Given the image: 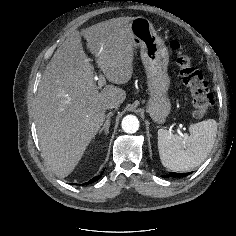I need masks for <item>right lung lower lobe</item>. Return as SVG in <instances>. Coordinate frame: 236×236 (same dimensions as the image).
<instances>
[{"label": "right lung lower lobe", "instance_id": "right-lung-lower-lobe-1", "mask_svg": "<svg viewBox=\"0 0 236 236\" xmlns=\"http://www.w3.org/2000/svg\"><path fill=\"white\" fill-rule=\"evenodd\" d=\"M102 174H103V173H101V175H99V176H96V177L92 178L89 182H87V184H88V183L91 184V183L97 181V180L102 176Z\"/></svg>", "mask_w": 236, "mask_h": 236}]
</instances>
